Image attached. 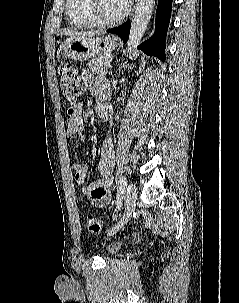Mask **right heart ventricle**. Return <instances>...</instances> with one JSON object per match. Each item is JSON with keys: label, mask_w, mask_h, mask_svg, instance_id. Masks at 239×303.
Masks as SVG:
<instances>
[{"label": "right heart ventricle", "mask_w": 239, "mask_h": 303, "mask_svg": "<svg viewBox=\"0 0 239 303\" xmlns=\"http://www.w3.org/2000/svg\"><path fill=\"white\" fill-rule=\"evenodd\" d=\"M87 0H66L65 12L68 22L79 29L92 28L96 26L87 9Z\"/></svg>", "instance_id": "right-heart-ventricle-1"}]
</instances>
